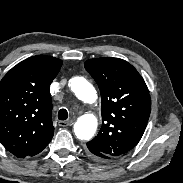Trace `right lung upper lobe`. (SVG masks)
<instances>
[{"mask_svg":"<svg viewBox=\"0 0 183 183\" xmlns=\"http://www.w3.org/2000/svg\"><path fill=\"white\" fill-rule=\"evenodd\" d=\"M61 66L55 57L33 56L0 81V142L17 157L40 153L53 137L50 84Z\"/></svg>","mask_w":183,"mask_h":183,"instance_id":"cb5924a9","label":"right lung upper lobe"}]
</instances>
